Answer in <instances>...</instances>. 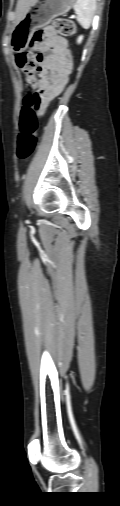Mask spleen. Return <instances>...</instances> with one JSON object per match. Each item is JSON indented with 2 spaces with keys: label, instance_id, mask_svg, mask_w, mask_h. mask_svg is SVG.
I'll use <instances>...</instances> for the list:
<instances>
[{
  "label": "spleen",
  "instance_id": "spleen-1",
  "mask_svg": "<svg viewBox=\"0 0 120 506\" xmlns=\"http://www.w3.org/2000/svg\"><path fill=\"white\" fill-rule=\"evenodd\" d=\"M74 10L77 14V21L79 24L84 29H88L96 10V0H76Z\"/></svg>",
  "mask_w": 120,
  "mask_h": 506
}]
</instances>
